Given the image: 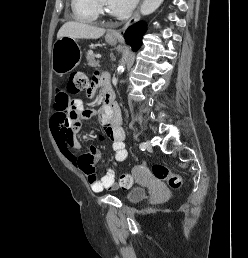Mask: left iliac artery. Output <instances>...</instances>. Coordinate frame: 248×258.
Masks as SVG:
<instances>
[{
	"instance_id": "1",
	"label": "left iliac artery",
	"mask_w": 248,
	"mask_h": 258,
	"mask_svg": "<svg viewBox=\"0 0 248 258\" xmlns=\"http://www.w3.org/2000/svg\"><path fill=\"white\" fill-rule=\"evenodd\" d=\"M140 149L145 150V143L144 142L140 144Z\"/></svg>"
}]
</instances>
